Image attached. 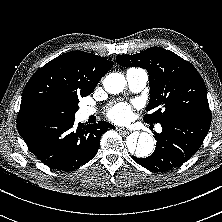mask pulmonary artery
<instances>
[{
  "label": "pulmonary artery",
  "mask_w": 222,
  "mask_h": 222,
  "mask_svg": "<svg viewBox=\"0 0 222 222\" xmlns=\"http://www.w3.org/2000/svg\"><path fill=\"white\" fill-rule=\"evenodd\" d=\"M126 80L129 88L133 92L141 91L147 84L148 73L144 69L130 68L126 72ZM95 109L91 107H84L82 112L85 116H89L95 113ZM158 131H161V127H158Z\"/></svg>",
  "instance_id": "pulmonary-artery-1"
}]
</instances>
